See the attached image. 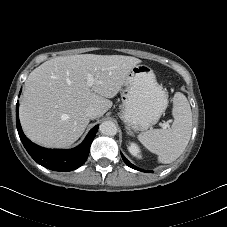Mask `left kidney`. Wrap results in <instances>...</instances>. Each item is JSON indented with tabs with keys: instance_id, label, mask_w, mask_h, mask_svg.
Here are the masks:
<instances>
[{
	"instance_id": "left-kidney-1",
	"label": "left kidney",
	"mask_w": 227,
	"mask_h": 227,
	"mask_svg": "<svg viewBox=\"0 0 227 227\" xmlns=\"http://www.w3.org/2000/svg\"><path fill=\"white\" fill-rule=\"evenodd\" d=\"M128 150L131 153V155L137 158H141L140 149L137 144L130 142L128 145Z\"/></svg>"
}]
</instances>
